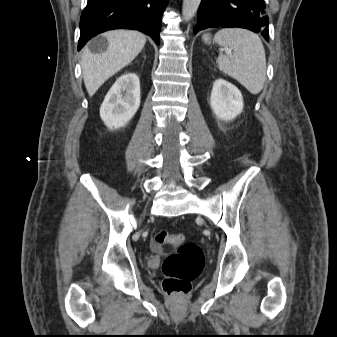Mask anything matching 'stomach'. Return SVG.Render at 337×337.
<instances>
[{
	"label": "stomach",
	"instance_id": "1",
	"mask_svg": "<svg viewBox=\"0 0 337 337\" xmlns=\"http://www.w3.org/2000/svg\"><path fill=\"white\" fill-rule=\"evenodd\" d=\"M203 40L207 44H209L211 41L210 36L208 34L203 35Z\"/></svg>",
	"mask_w": 337,
	"mask_h": 337
}]
</instances>
